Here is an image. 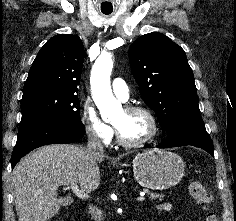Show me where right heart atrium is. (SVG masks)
I'll return each instance as SVG.
<instances>
[{
    "mask_svg": "<svg viewBox=\"0 0 236 221\" xmlns=\"http://www.w3.org/2000/svg\"><path fill=\"white\" fill-rule=\"evenodd\" d=\"M81 121L86 134L93 141L104 145L112 141L114 136L112 126L101 118L92 102L87 101L83 104Z\"/></svg>",
    "mask_w": 236,
    "mask_h": 221,
    "instance_id": "obj_1",
    "label": "right heart atrium"
}]
</instances>
